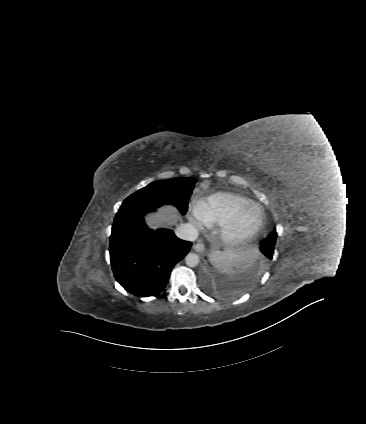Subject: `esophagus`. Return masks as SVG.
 Instances as JSON below:
<instances>
[{
  "mask_svg": "<svg viewBox=\"0 0 366 424\" xmlns=\"http://www.w3.org/2000/svg\"><path fill=\"white\" fill-rule=\"evenodd\" d=\"M193 248L196 252L202 253L205 250V245L201 242H198L193 246Z\"/></svg>",
  "mask_w": 366,
  "mask_h": 424,
  "instance_id": "1",
  "label": "esophagus"
}]
</instances>
